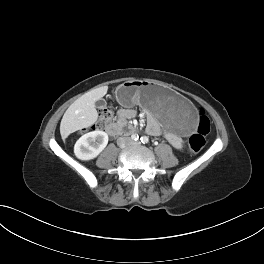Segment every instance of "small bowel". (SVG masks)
<instances>
[{"label": "small bowel", "mask_w": 264, "mask_h": 264, "mask_svg": "<svg viewBox=\"0 0 264 264\" xmlns=\"http://www.w3.org/2000/svg\"><path fill=\"white\" fill-rule=\"evenodd\" d=\"M134 115H135V111L132 109H121L118 112V116L120 119L131 118ZM147 132L151 135H154V136H158V135L163 134V131H162L161 127L159 126V124L153 120L149 122V124L147 126ZM166 137L173 146H175L177 148H180L182 146V140L176 134L167 133Z\"/></svg>", "instance_id": "small-bowel-1"}]
</instances>
